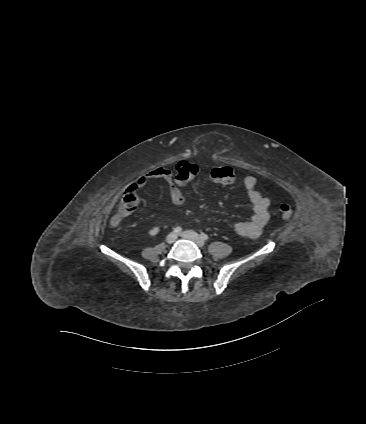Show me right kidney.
<instances>
[{
  "mask_svg": "<svg viewBox=\"0 0 366 424\" xmlns=\"http://www.w3.org/2000/svg\"><path fill=\"white\" fill-rule=\"evenodd\" d=\"M158 232H159V227L156 226V227H153L152 229L149 230V235L155 236V235L158 234Z\"/></svg>",
  "mask_w": 366,
  "mask_h": 424,
  "instance_id": "1",
  "label": "right kidney"
}]
</instances>
